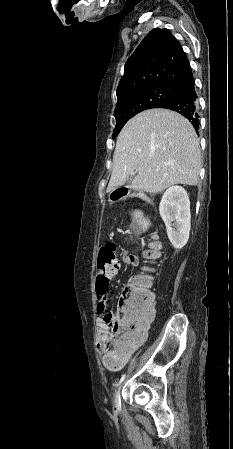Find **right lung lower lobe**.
<instances>
[{
    "label": "right lung lower lobe",
    "mask_w": 233,
    "mask_h": 449,
    "mask_svg": "<svg viewBox=\"0 0 233 449\" xmlns=\"http://www.w3.org/2000/svg\"><path fill=\"white\" fill-rule=\"evenodd\" d=\"M178 90V96L167 100L156 108H165L176 111L186 117L198 132L199 116L198 102L195 91L194 78L175 87Z\"/></svg>",
    "instance_id": "obj_1"
}]
</instances>
